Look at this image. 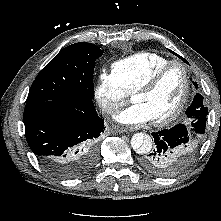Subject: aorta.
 Here are the masks:
<instances>
[{"label":"aorta","mask_w":221,"mask_h":221,"mask_svg":"<svg viewBox=\"0 0 221 221\" xmlns=\"http://www.w3.org/2000/svg\"><path fill=\"white\" fill-rule=\"evenodd\" d=\"M132 148L139 154H146L152 148V138L143 133H136L131 138Z\"/></svg>","instance_id":"1"}]
</instances>
